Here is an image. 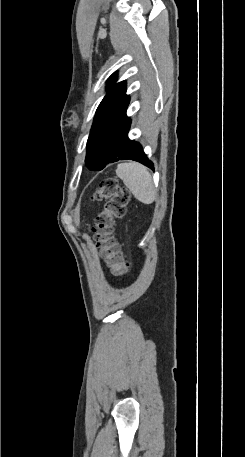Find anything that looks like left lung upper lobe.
<instances>
[{"label":"left lung upper lobe","mask_w":245,"mask_h":457,"mask_svg":"<svg viewBox=\"0 0 245 457\" xmlns=\"http://www.w3.org/2000/svg\"><path fill=\"white\" fill-rule=\"evenodd\" d=\"M115 78V73L109 78V90L97 108L92 129L102 124L112 122L126 112L130 101L129 96L125 94L126 83L125 81H122L114 84Z\"/></svg>","instance_id":"obj_1"}]
</instances>
